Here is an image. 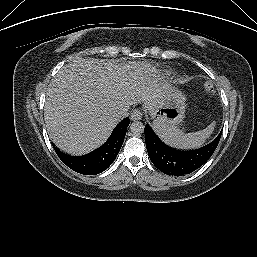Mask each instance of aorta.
<instances>
[{
	"instance_id": "aorta-1",
	"label": "aorta",
	"mask_w": 257,
	"mask_h": 257,
	"mask_svg": "<svg viewBox=\"0 0 257 257\" xmlns=\"http://www.w3.org/2000/svg\"><path fill=\"white\" fill-rule=\"evenodd\" d=\"M130 130L134 135H140L144 132V125L140 121H134L130 124Z\"/></svg>"
}]
</instances>
